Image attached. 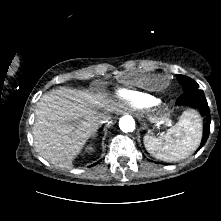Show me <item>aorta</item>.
Masks as SVG:
<instances>
[{
	"label": "aorta",
	"mask_w": 221,
	"mask_h": 221,
	"mask_svg": "<svg viewBox=\"0 0 221 221\" xmlns=\"http://www.w3.org/2000/svg\"><path fill=\"white\" fill-rule=\"evenodd\" d=\"M119 128L125 133L133 132L135 130V120L129 115L122 116L119 120Z\"/></svg>",
	"instance_id": "aorta-1"
}]
</instances>
